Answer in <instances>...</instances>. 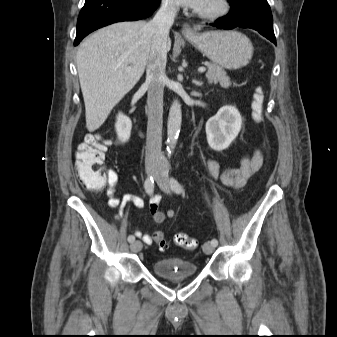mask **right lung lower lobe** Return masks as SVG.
<instances>
[{
  "mask_svg": "<svg viewBox=\"0 0 337 337\" xmlns=\"http://www.w3.org/2000/svg\"><path fill=\"white\" fill-rule=\"evenodd\" d=\"M159 4L160 0H86L78 17L74 45L106 25L146 18Z\"/></svg>",
  "mask_w": 337,
  "mask_h": 337,
  "instance_id": "right-lung-lower-lobe-1",
  "label": "right lung lower lobe"
}]
</instances>
